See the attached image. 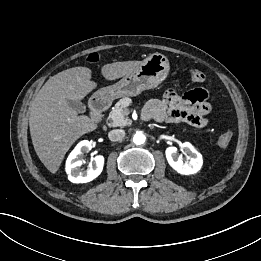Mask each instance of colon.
<instances>
[{
  "instance_id": "colon-1",
  "label": "colon",
  "mask_w": 261,
  "mask_h": 261,
  "mask_svg": "<svg viewBox=\"0 0 261 261\" xmlns=\"http://www.w3.org/2000/svg\"><path fill=\"white\" fill-rule=\"evenodd\" d=\"M99 55L97 53H91L87 56V61L90 63H95L99 61ZM186 72L190 78V80L194 83H201L205 80L206 76L204 72H202L200 69L195 67H187ZM232 139V132L231 130H226L222 134L219 135L216 141V145L219 148H226Z\"/></svg>"
}]
</instances>
